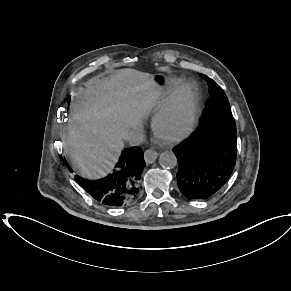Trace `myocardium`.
Listing matches in <instances>:
<instances>
[{
  "label": "myocardium",
  "mask_w": 291,
  "mask_h": 291,
  "mask_svg": "<svg viewBox=\"0 0 291 291\" xmlns=\"http://www.w3.org/2000/svg\"><path fill=\"white\" fill-rule=\"evenodd\" d=\"M178 109L186 112L184 127L174 135L165 136L161 127ZM200 116V93L195 82L184 81L170 94L161 109L155 115L152 128L155 135L167 143H178L186 139L196 128Z\"/></svg>",
  "instance_id": "obj_1"
}]
</instances>
